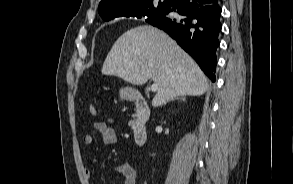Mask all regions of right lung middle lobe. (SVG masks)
I'll return each instance as SVG.
<instances>
[{"label":"right lung middle lobe","instance_id":"dd1d6c3e","mask_svg":"<svg viewBox=\"0 0 293 184\" xmlns=\"http://www.w3.org/2000/svg\"><path fill=\"white\" fill-rule=\"evenodd\" d=\"M163 11L158 9H150L147 11H142L135 15L137 18L147 17L146 21L161 19L163 17Z\"/></svg>","mask_w":293,"mask_h":184}]
</instances>
